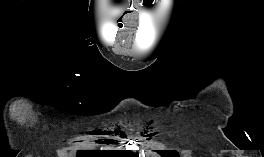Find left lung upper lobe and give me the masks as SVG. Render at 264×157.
<instances>
[{"label":"left lung upper lobe","instance_id":"obj_1","mask_svg":"<svg viewBox=\"0 0 264 157\" xmlns=\"http://www.w3.org/2000/svg\"><path fill=\"white\" fill-rule=\"evenodd\" d=\"M159 153L162 155V157H179L177 152L173 150H160Z\"/></svg>","mask_w":264,"mask_h":157}]
</instances>
